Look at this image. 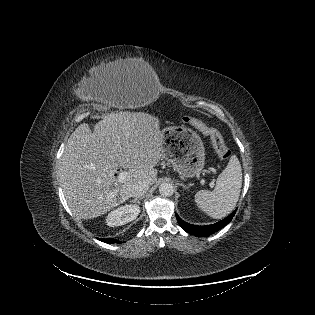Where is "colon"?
<instances>
[{
    "instance_id": "colon-1",
    "label": "colon",
    "mask_w": 315,
    "mask_h": 315,
    "mask_svg": "<svg viewBox=\"0 0 315 315\" xmlns=\"http://www.w3.org/2000/svg\"><path fill=\"white\" fill-rule=\"evenodd\" d=\"M184 121L210 139L216 155L220 160H226L230 157L231 152L218 130L208 127L204 122L195 117H184Z\"/></svg>"
}]
</instances>
